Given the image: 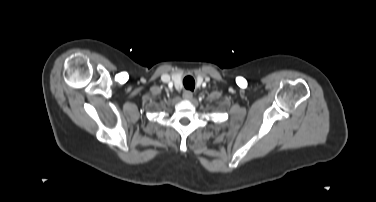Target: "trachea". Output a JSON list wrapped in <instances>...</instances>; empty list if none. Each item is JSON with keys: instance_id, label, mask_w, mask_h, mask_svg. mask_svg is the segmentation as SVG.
<instances>
[{"instance_id": "trachea-1", "label": "trachea", "mask_w": 376, "mask_h": 202, "mask_svg": "<svg viewBox=\"0 0 376 202\" xmlns=\"http://www.w3.org/2000/svg\"><path fill=\"white\" fill-rule=\"evenodd\" d=\"M183 84L187 90L193 91L195 88V80L191 76L185 77L183 80Z\"/></svg>"}]
</instances>
